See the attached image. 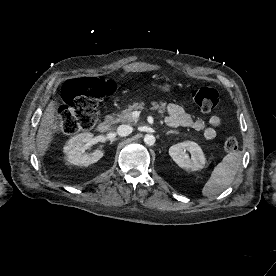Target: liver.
Returning <instances> with one entry per match:
<instances>
[{"label":"liver","mask_w":276,"mask_h":276,"mask_svg":"<svg viewBox=\"0 0 276 276\" xmlns=\"http://www.w3.org/2000/svg\"><path fill=\"white\" fill-rule=\"evenodd\" d=\"M160 69L159 66L143 62H134L123 67L125 72H145ZM55 101H51L40 122V127L36 137L37 150L41 156L45 154L53 139V126L55 122Z\"/></svg>","instance_id":"6515ba94"}]
</instances>
